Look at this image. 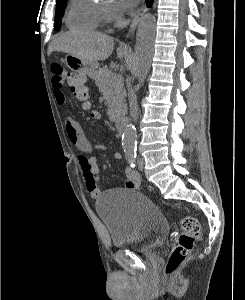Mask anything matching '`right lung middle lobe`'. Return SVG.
Wrapping results in <instances>:
<instances>
[{"instance_id": "right-lung-middle-lobe-1", "label": "right lung middle lobe", "mask_w": 245, "mask_h": 300, "mask_svg": "<svg viewBox=\"0 0 245 300\" xmlns=\"http://www.w3.org/2000/svg\"><path fill=\"white\" fill-rule=\"evenodd\" d=\"M66 6V0L57 1L56 5V16H55V29H59L61 26V19L64 14V9Z\"/></svg>"}]
</instances>
